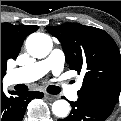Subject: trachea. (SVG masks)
<instances>
[{
  "label": "trachea",
  "mask_w": 121,
  "mask_h": 121,
  "mask_svg": "<svg viewBox=\"0 0 121 121\" xmlns=\"http://www.w3.org/2000/svg\"><path fill=\"white\" fill-rule=\"evenodd\" d=\"M47 91L51 94H59L61 92L58 86H49Z\"/></svg>",
  "instance_id": "1"
}]
</instances>
